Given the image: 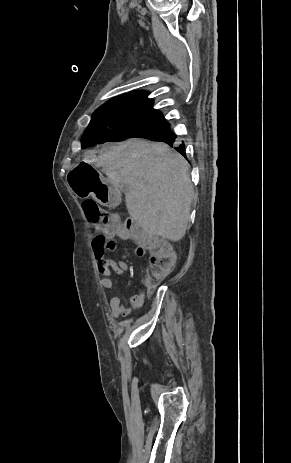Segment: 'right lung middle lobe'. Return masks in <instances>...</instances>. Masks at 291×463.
I'll list each match as a JSON object with an SVG mask.
<instances>
[{"label": "right lung middle lobe", "mask_w": 291, "mask_h": 463, "mask_svg": "<svg viewBox=\"0 0 291 463\" xmlns=\"http://www.w3.org/2000/svg\"><path fill=\"white\" fill-rule=\"evenodd\" d=\"M169 127L163 119L96 110L81 139L82 148L128 138H147Z\"/></svg>", "instance_id": "dd1d6c3e"}]
</instances>
